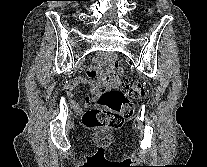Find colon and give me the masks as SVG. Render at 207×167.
<instances>
[{
    "instance_id": "colon-1",
    "label": "colon",
    "mask_w": 207,
    "mask_h": 167,
    "mask_svg": "<svg viewBox=\"0 0 207 167\" xmlns=\"http://www.w3.org/2000/svg\"><path fill=\"white\" fill-rule=\"evenodd\" d=\"M150 14L153 13L149 9ZM117 64L110 55L107 65L108 87L99 95L96 105L83 116L87 128H112L124 123L133 113V100L141 98L145 93L142 84L118 77L113 68Z\"/></svg>"
}]
</instances>
